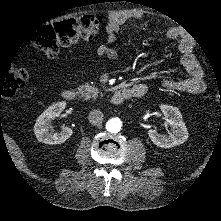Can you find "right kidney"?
<instances>
[{
  "mask_svg": "<svg viewBox=\"0 0 221 221\" xmlns=\"http://www.w3.org/2000/svg\"><path fill=\"white\" fill-rule=\"evenodd\" d=\"M68 101L59 100L48 106L35 120L33 130L38 141L46 144H60L72 136L73 131L71 128L62 126L59 131H54L50 122L57 118L66 106Z\"/></svg>",
  "mask_w": 221,
  "mask_h": 221,
  "instance_id": "right-kidney-1",
  "label": "right kidney"
}]
</instances>
